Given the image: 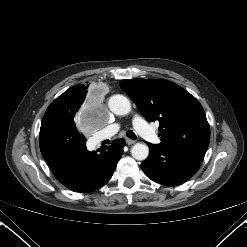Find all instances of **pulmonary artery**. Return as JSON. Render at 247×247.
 <instances>
[{
  "label": "pulmonary artery",
  "mask_w": 247,
  "mask_h": 247,
  "mask_svg": "<svg viewBox=\"0 0 247 247\" xmlns=\"http://www.w3.org/2000/svg\"><path fill=\"white\" fill-rule=\"evenodd\" d=\"M133 125L137 132L143 136L146 140L157 143L158 137L156 133L147 125V123L138 115L133 118ZM120 129V125L118 123L111 124L107 126L102 132L101 135L103 137H109L115 133H117Z\"/></svg>",
  "instance_id": "obj_1"
}]
</instances>
